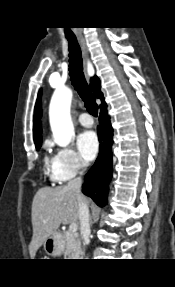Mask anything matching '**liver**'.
<instances>
[{
  "label": "liver",
  "mask_w": 175,
  "mask_h": 287,
  "mask_svg": "<svg viewBox=\"0 0 175 287\" xmlns=\"http://www.w3.org/2000/svg\"><path fill=\"white\" fill-rule=\"evenodd\" d=\"M84 200L87 202L85 198ZM31 220L33 236L29 253L31 259H34L40 246L62 223L78 222L79 207L76 193L67 186L40 188L33 198Z\"/></svg>",
  "instance_id": "1"
}]
</instances>
